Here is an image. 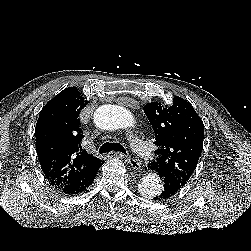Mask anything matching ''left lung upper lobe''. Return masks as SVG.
<instances>
[{"label": "left lung upper lobe", "mask_w": 251, "mask_h": 251, "mask_svg": "<svg viewBox=\"0 0 251 251\" xmlns=\"http://www.w3.org/2000/svg\"><path fill=\"white\" fill-rule=\"evenodd\" d=\"M144 112L155 132L156 161L151 165L184 186L193 174L203 149L204 128L189 102L174 97L169 108L153 102Z\"/></svg>", "instance_id": "5c2ea615"}]
</instances>
